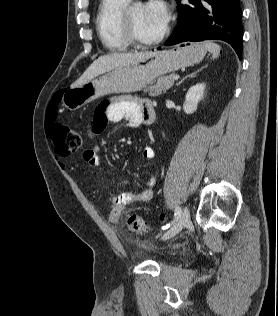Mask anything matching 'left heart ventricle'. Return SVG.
<instances>
[{"mask_svg":"<svg viewBox=\"0 0 278 316\" xmlns=\"http://www.w3.org/2000/svg\"><path fill=\"white\" fill-rule=\"evenodd\" d=\"M130 16L138 36L144 40L157 37L165 28L148 16L145 5L139 4L132 7L130 9Z\"/></svg>","mask_w":278,"mask_h":316,"instance_id":"1","label":"left heart ventricle"}]
</instances>
